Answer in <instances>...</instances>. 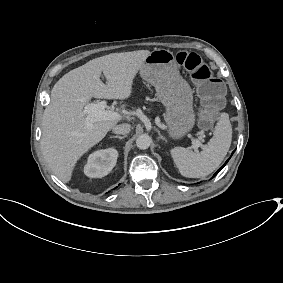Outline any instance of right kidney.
<instances>
[{"label": "right kidney", "mask_w": 283, "mask_h": 283, "mask_svg": "<svg viewBox=\"0 0 283 283\" xmlns=\"http://www.w3.org/2000/svg\"><path fill=\"white\" fill-rule=\"evenodd\" d=\"M118 152L114 148L98 150L89 155L84 174L90 178H102L116 165Z\"/></svg>", "instance_id": "ca27d5eb"}]
</instances>
